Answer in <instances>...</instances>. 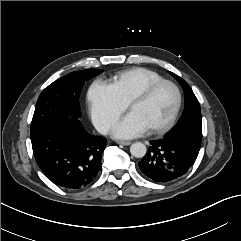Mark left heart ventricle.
<instances>
[{
	"label": "left heart ventricle",
	"mask_w": 241,
	"mask_h": 241,
	"mask_svg": "<svg viewBox=\"0 0 241 241\" xmlns=\"http://www.w3.org/2000/svg\"><path fill=\"white\" fill-rule=\"evenodd\" d=\"M176 105V93L169 85L158 88L149 99L137 102L131 107L150 128L165 124Z\"/></svg>",
	"instance_id": "obj_1"
}]
</instances>
